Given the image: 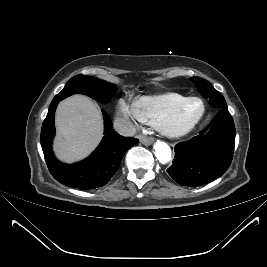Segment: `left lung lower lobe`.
<instances>
[{"label":"left lung lower lobe","mask_w":267,"mask_h":267,"mask_svg":"<svg viewBox=\"0 0 267 267\" xmlns=\"http://www.w3.org/2000/svg\"><path fill=\"white\" fill-rule=\"evenodd\" d=\"M210 129L209 134L204 132ZM235 126L227 108H220L211 123L198 136L175 146L171 178L183 186H199L215 180L231 164Z\"/></svg>","instance_id":"obj_1"}]
</instances>
